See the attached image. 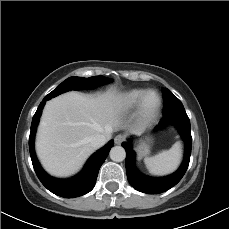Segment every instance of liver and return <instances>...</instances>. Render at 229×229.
<instances>
[{
  "mask_svg": "<svg viewBox=\"0 0 229 229\" xmlns=\"http://www.w3.org/2000/svg\"><path fill=\"white\" fill-rule=\"evenodd\" d=\"M122 108V97L115 91L96 96L68 92L49 100L36 137L45 170L57 177L76 173L94 152L90 139L103 134L109 140L121 127Z\"/></svg>",
  "mask_w": 229,
  "mask_h": 229,
  "instance_id": "obj_1",
  "label": "liver"
}]
</instances>
